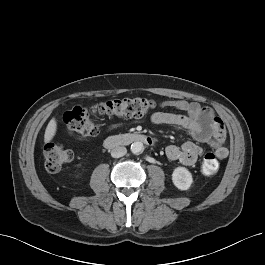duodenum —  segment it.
Instances as JSON below:
<instances>
[{"label": "duodenum", "instance_id": "1", "mask_svg": "<svg viewBox=\"0 0 265 265\" xmlns=\"http://www.w3.org/2000/svg\"><path fill=\"white\" fill-rule=\"evenodd\" d=\"M137 142L152 145L155 143V140L152 137L141 133H127L121 135H114L106 138L104 141V146L108 149H112L119 146H126Z\"/></svg>", "mask_w": 265, "mask_h": 265}]
</instances>
